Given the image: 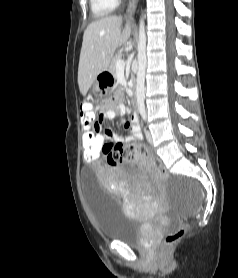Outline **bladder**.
<instances>
[{
  "label": "bladder",
  "instance_id": "31cf9c89",
  "mask_svg": "<svg viewBox=\"0 0 238 278\" xmlns=\"http://www.w3.org/2000/svg\"><path fill=\"white\" fill-rule=\"evenodd\" d=\"M82 180H94L93 169H82ZM88 206L99 233L107 239L142 246L145 240L144 221L127 215L120 200L98 181H84Z\"/></svg>",
  "mask_w": 238,
  "mask_h": 278
}]
</instances>
